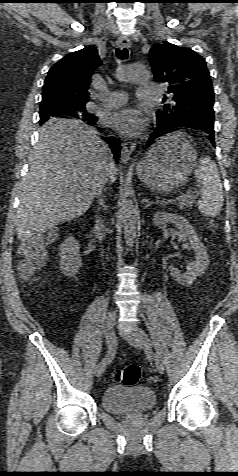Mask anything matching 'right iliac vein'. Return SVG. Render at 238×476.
Returning a JSON list of instances; mask_svg holds the SVG:
<instances>
[{
  "label": "right iliac vein",
  "mask_w": 238,
  "mask_h": 476,
  "mask_svg": "<svg viewBox=\"0 0 238 476\" xmlns=\"http://www.w3.org/2000/svg\"><path fill=\"white\" fill-rule=\"evenodd\" d=\"M115 322H116V313L115 312H110L109 315H108L107 321H106V325H105V337L106 338L108 336V334H107L108 329L111 330L113 336H115V333H114ZM106 341H107V339H106ZM105 367H106V363H105L104 360H102L100 363H98L97 366L95 367V370H94L95 376H97V377L101 376L105 371Z\"/></svg>",
  "instance_id": "obj_1"
}]
</instances>
